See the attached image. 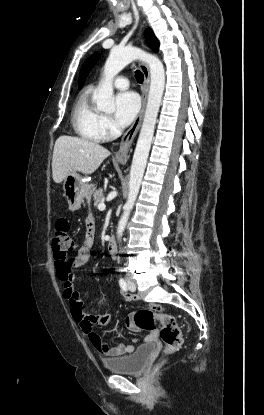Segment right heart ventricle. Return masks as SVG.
<instances>
[{"instance_id": "e07e8e85", "label": "right heart ventricle", "mask_w": 264, "mask_h": 415, "mask_svg": "<svg viewBox=\"0 0 264 415\" xmlns=\"http://www.w3.org/2000/svg\"><path fill=\"white\" fill-rule=\"evenodd\" d=\"M103 115L93 105L91 93L84 91L76 100L71 116L75 133L92 142H102L106 135L102 128Z\"/></svg>"}]
</instances>
